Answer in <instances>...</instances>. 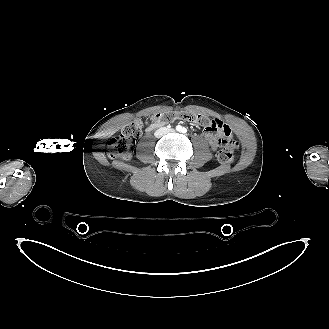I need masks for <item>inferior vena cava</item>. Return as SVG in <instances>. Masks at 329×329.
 Returning <instances> with one entry per match:
<instances>
[{
    "label": "inferior vena cava",
    "mask_w": 329,
    "mask_h": 329,
    "mask_svg": "<svg viewBox=\"0 0 329 329\" xmlns=\"http://www.w3.org/2000/svg\"><path fill=\"white\" fill-rule=\"evenodd\" d=\"M166 133H168V129L166 127L160 128L155 132V137L160 138Z\"/></svg>",
    "instance_id": "602c4592"
}]
</instances>
